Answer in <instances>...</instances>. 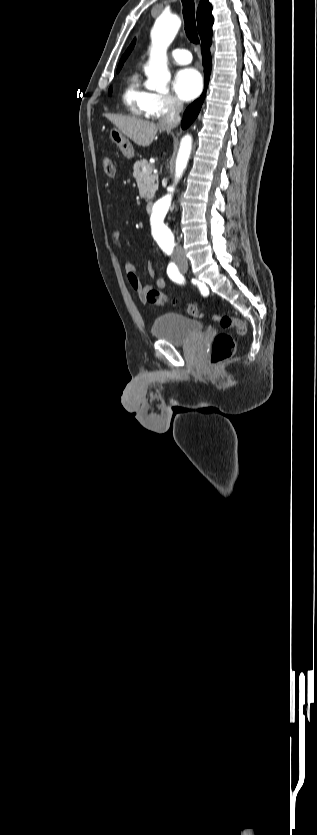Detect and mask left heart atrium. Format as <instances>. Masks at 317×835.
<instances>
[{
    "mask_svg": "<svg viewBox=\"0 0 317 835\" xmlns=\"http://www.w3.org/2000/svg\"><path fill=\"white\" fill-rule=\"evenodd\" d=\"M173 86L182 100L189 101L200 94L202 77L194 68H183L176 73Z\"/></svg>",
    "mask_w": 317,
    "mask_h": 835,
    "instance_id": "left-heart-atrium-1",
    "label": "left heart atrium"
}]
</instances>
